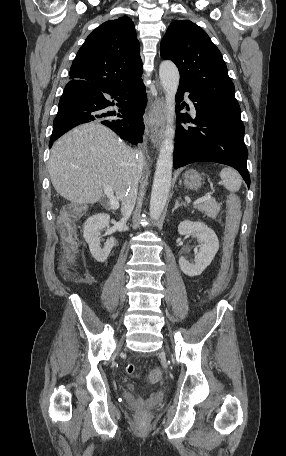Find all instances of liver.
Returning a JSON list of instances; mask_svg holds the SVG:
<instances>
[{
    "instance_id": "liver-1",
    "label": "liver",
    "mask_w": 286,
    "mask_h": 456,
    "mask_svg": "<svg viewBox=\"0 0 286 456\" xmlns=\"http://www.w3.org/2000/svg\"><path fill=\"white\" fill-rule=\"evenodd\" d=\"M48 171L57 193L73 203L98 202L105 185L122 201L136 175V157L113 131L88 123L54 143Z\"/></svg>"
}]
</instances>
